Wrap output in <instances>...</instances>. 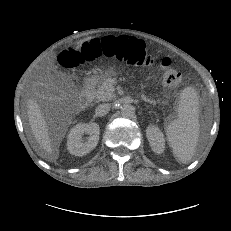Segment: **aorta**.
Listing matches in <instances>:
<instances>
[{"instance_id": "762f6f07", "label": "aorta", "mask_w": 231, "mask_h": 231, "mask_svg": "<svg viewBox=\"0 0 231 231\" xmlns=\"http://www.w3.org/2000/svg\"><path fill=\"white\" fill-rule=\"evenodd\" d=\"M135 113V108L134 106L130 104H124L121 106V114L124 117H132Z\"/></svg>"}]
</instances>
